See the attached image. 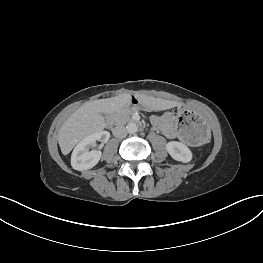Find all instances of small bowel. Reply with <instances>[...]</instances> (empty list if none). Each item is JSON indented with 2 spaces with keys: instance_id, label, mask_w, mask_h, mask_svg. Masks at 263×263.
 <instances>
[{
  "instance_id": "small-bowel-1",
  "label": "small bowel",
  "mask_w": 263,
  "mask_h": 263,
  "mask_svg": "<svg viewBox=\"0 0 263 263\" xmlns=\"http://www.w3.org/2000/svg\"><path fill=\"white\" fill-rule=\"evenodd\" d=\"M174 121V117L171 113H165L160 117H152V123L159 128L167 138H179L183 140L175 129Z\"/></svg>"
}]
</instances>
